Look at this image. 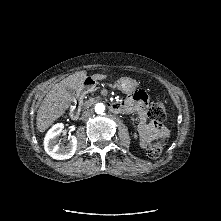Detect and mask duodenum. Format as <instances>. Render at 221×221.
Here are the masks:
<instances>
[{"label": "duodenum", "instance_id": "duodenum-1", "mask_svg": "<svg viewBox=\"0 0 221 221\" xmlns=\"http://www.w3.org/2000/svg\"><path fill=\"white\" fill-rule=\"evenodd\" d=\"M93 84L92 80H85L82 83L81 88L78 91V94L76 96V99L74 100L71 110H70V116L72 119H78L81 113L82 109V103L84 99V95L86 90L91 87ZM110 111L112 113H121L126 112V106L121 102H114L110 105Z\"/></svg>", "mask_w": 221, "mask_h": 221}]
</instances>
